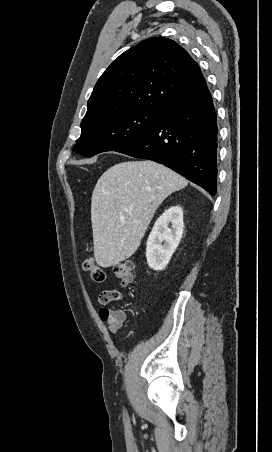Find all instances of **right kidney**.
Wrapping results in <instances>:
<instances>
[{"label":"right kidney","mask_w":272,"mask_h":452,"mask_svg":"<svg viewBox=\"0 0 272 452\" xmlns=\"http://www.w3.org/2000/svg\"><path fill=\"white\" fill-rule=\"evenodd\" d=\"M169 223L172 228L168 227ZM183 229V210L180 206L170 207L157 219L147 240L146 258L150 268L155 271L165 269L180 243Z\"/></svg>","instance_id":"ca27d5eb"}]
</instances>
